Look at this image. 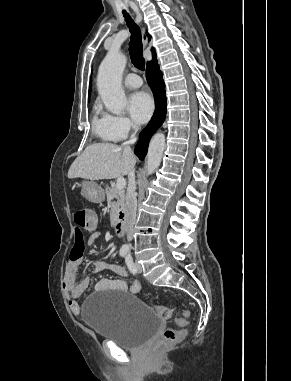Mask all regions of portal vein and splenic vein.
Here are the masks:
<instances>
[{
    "instance_id": "obj_1",
    "label": "portal vein and splenic vein",
    "mask_w": 291,
    "mask_h": 381,
    "mask_svg": "<svg viewBox=\"0 0 291 381\" xmlns=\"http://www.w3.org/2000/svg\"><path fill=\"white\" fill-rule=\"evenodd\" d=\"M126 186V181L123 177H120L117 179V182H116V187L118 189H123L124 187Z\"/></svg>"
}]
</instances>
